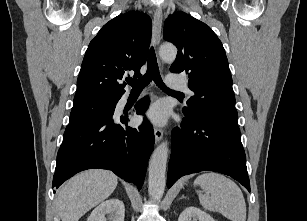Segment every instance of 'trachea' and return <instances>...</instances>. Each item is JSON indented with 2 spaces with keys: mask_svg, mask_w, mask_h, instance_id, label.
<instances>
[{
  "mask_svg": "<svg viewBox=\"0 0 307 221\" xmlns=\"http://www.w3.org/2000/svg\"><path fill=\"white\" fill-rule=\"evenodd\" d=\"M127 83L132 86V90H142L144 89L151 81H154L155 84L165 92L182 94L181 92L174 91L169 89L164 83L160 76L158 63L156 59L155 50L151 47L148 54V67L146 74L139 79H127Z\"/></svg>",
  "mask_w": 307,
  "mask_h": 221,
  "instance_id": "trachea-1",
  "label": "trachea"
}]
</instances>
